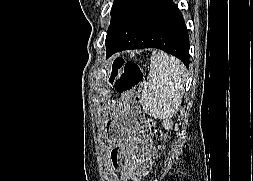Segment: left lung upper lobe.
<instances>
[{
	"label": "left lung upper lobe",
	"instance_id": "obj_1",
	"mask_svg": "<svg viewBox=\"0 0 253 181\" xmlns=\"http://www.w3.org/2000/svg\"><path fill=\"white\" fill-rule=\"evenodd\" d=\"M132 2V0H114L112 9H111V23L108 28V31L112 28L118 18L121 16L126 7Z\"/></svg>",
	"mask_w": 253,
	"mask_h": 181
}]
</instances>
